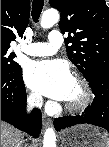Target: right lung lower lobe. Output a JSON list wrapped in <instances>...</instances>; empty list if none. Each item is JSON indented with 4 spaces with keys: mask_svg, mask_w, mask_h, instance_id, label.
<instances>
[{
    "mask_svg": "<svg viewBox=\"0 0 109 147\" xmlns=\"http://www.w3.org/2000/svg\"><path fill=\"white\" fill-rule=\"evenodd\" d=\"M25 107L26 90L21 68L10 73L1 71V120L37 137L42 127L41 111L35 108L27 116Z\"/></svg>",
    "mask_w": 109,
    "mask_h": 147,
    "instance_id": "98d812e1",
    "label": "right lung lower lobe"
}]
</instances>
